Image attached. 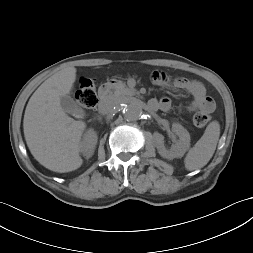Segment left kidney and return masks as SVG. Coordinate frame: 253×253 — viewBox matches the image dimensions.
<instances>
[{
  "label": "left kidney",
  "mask_w": 253,
  "mask_h": 253,
  "mask_svg": "<svg viewBox=\"0 0 253 253\" xmlns=\"http://www.w3.org/2000/svg\"><path fill=\"white\" fill-rule=\"evenodd\" d=\"M172 132L177 135L179 139L169 150L165 148L163 135L158 132L153 134L158 153L168 160L182 157L190 146L189 132L181 124L173 123Z\"/></svg>",
  "instance_id": "5707ae66"
}]
</instances>
